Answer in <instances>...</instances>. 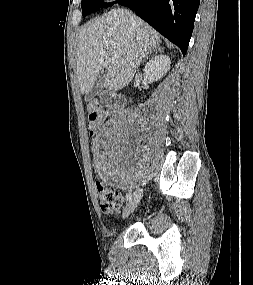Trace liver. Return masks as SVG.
Here are the masks:
<instances>
[{
	"mask_svg": "<svg viewBox=\"0 0 253 285\" xmlns=\"http://www.w3.org/2000/svg\"><path fill=\"white\" fill-rule=\"evenodd\" d=\"M160 42L155 29L125 9L97 18L78 37L76 58L81 93L88 94L102 71H106L105 88L122 89L132 80L145 54Z\"/></svg>",
	"mask_w": 253,
	"mask_h": 285,
	"instance_id": "obj_1",
	"label": "liver"
}]
</instances>
